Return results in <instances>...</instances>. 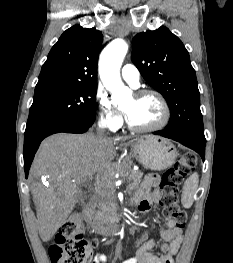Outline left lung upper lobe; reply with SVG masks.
<instances>
[{
	"mask_svg": "<svg viewBox=\"0 0 233 263\" xmlns=\"http://www.w3.org/2000/svg\"><path fill=\"white\" fill-rule=\"evenodd\" d=\"M132 61L169 105L165 129L205 139L196 73L180 39L163 26L139 33L133 38Z\"/></svg>",
	"mask_w": 233,
	"mask_h": 263,
	"instance_id": "5c2ea615",
	"label": "left lung upper lobe"
}]
</instances>
